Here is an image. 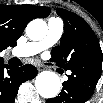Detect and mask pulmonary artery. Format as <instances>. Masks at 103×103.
<instances>
[{
  "instance_id": "pulmonary-artery-1",
  "label": "pulmonary artery",
  "mask_w": 103,
  "mask_h": 103,
  "mask_svg": "<svg viewBox=\"0 0 103 103\" xmlns=\"http://www.w3.org/2000/svg\"><path fill=\"white\" fill-rule=\"evenodd\" d=\"M64 30L63 21L60 18L52 17L48 21V31L46 36L38 42H27L16 47L13 54L17 57H29L56 44Z\"/></svg>"
}]
</instances>
